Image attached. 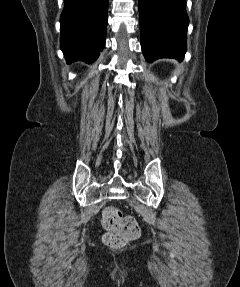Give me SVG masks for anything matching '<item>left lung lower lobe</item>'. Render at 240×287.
Masks as SVG:
<instances>
[{"mask_svg": "<svg viewBox=\"0 0 240 287\" xmlns=\"http://www.w3.org/2000/svg\"><path fill=\"white\" fill-rule=\"evenodd\" d=\"M186 0H139L141 47L148 62L182 60L187 50Z\"/></svg>", "mask_w": 240, "mask_h": 287, "instance_id": "left-lung-lower-lobe-1", "label": "left lung lower lobe"}]
</instances>
